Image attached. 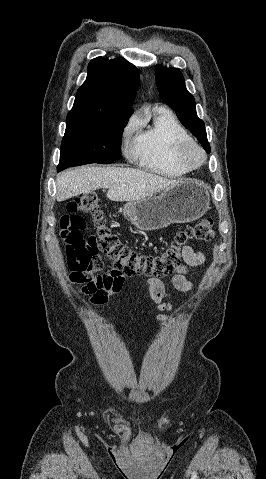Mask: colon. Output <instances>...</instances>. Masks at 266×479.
Here are the masks:
<instances>
[{
	"label": "colon",
	"mask_w": 266,
	"mask_h": 479,
	"mask_svg": "<svg viewBox=\"0 0 266 479\" xmlns=\"http://www.w3.org/2000/svg\"><path fill=\"white\" fill-rule=\"evenodd\" d=\"M88 214L93 216L97 232L87 237L84 231ZM213 224L211 218H203L195 226L178 232L162 253H143L122 243L108 225L97 196L86 193L68 202L67 214L60 220V230L65 238L72 281L92 303L102 304L109 295L121 290L125 276L161 278L172 274L181 265L183 251L189 243L208 242L214 238ZM104 265L109 272L95 274Z\"/></svg>",
	"instance_id": "1"
}]
</instances>
